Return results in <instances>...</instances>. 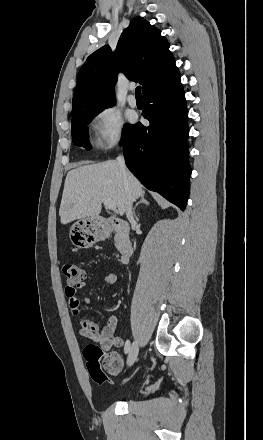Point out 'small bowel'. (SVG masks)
<instances>
[{
  "label": "small bowel",
  "mask_w": 263,
  "mask_h": 440,
  "mask_svg": "<svg viewBox=\"0 0 263 440\" xmlns=\"http://www.w3.org/2000/svg\"><path fill=\"white\" fill-rule=\"evenodd\" d=\"M117 280V275L114 272H108L103 276V282L106 285H113ZM88 282L84 281L76 287H66V294L69 299V306L72 313L79 317V333L81 336L98 342L104 350L112 348H119L123 344L120 337L115 336L118 319L115 315L108 317L107 323L103 328H100L98 323L92 319L80 316L81 299L78 296V290L88 287ZM83 303L89 305L91 297L89 295L83 298Z\"/></svg>",
  "instance_id": "small-bowel-1"
}]
</instances>
